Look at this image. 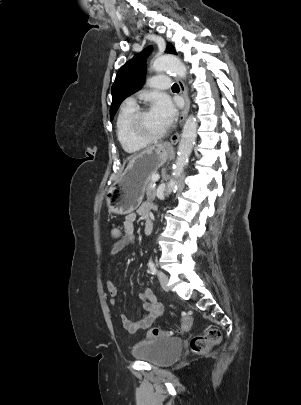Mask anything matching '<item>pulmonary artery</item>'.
<instances>
[{
	"instance_id": "e3ab8cb5",
	"label": "pulmonary artery",
	"mask_w": 301,
	"mask_h": 405,
	"mask_svg": "<svg viewBox=\"0 0 301 405\" xmlns=\"http://www.w3.org/2000/svg\"><path fill=\"white\" fill-rule=\"evenodd\" d=\"M150 85L156 89H167L170 87V78L165 75L153 76L149 79ZM125 104L135 105V100L133 98H128Z\"/></svg>"
}]
</instances>
